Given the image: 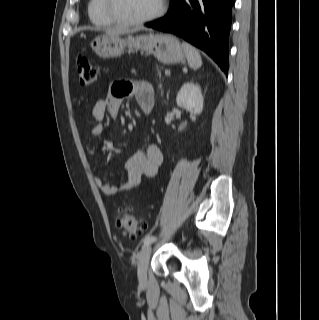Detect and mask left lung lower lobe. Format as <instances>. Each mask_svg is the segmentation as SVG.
Wrapping results in <instances>:
<instances>
[{"label":"left lung lower lobe","mask_w":319,"mask_h":320,"mask_svg":"<svg viewBox=\"0 0 319 320\" xmlns=\"http://www.w3.org/2000/svg\"><path fill=\"white\" fill-rule=\"evenodd\" d=\"M234 0H171L168 13L145 26L182 37L228 71V36Z\"/></svg>","instance_id":"1"}]
</instances>
